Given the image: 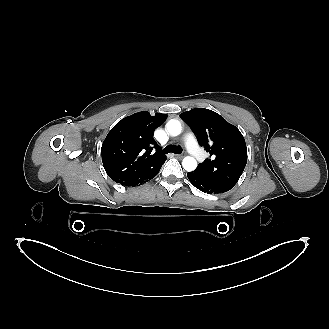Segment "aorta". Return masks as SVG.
<instances>
[{
    "label": "aorta",
    "instance_id": "1",
    "mask_svg": "<svg viewBox=\"0 0 329 329\" xmlns=\"http://www.w3.org/2000/svg\"><path fill=\"white\" fill-rule=\"evenodd\" d=\"M166 130L172 136H178L181 133L182 126L178 120L171 119L166 124ZM182 166L186 171H194L197 167L195 158L187 156L182 161Z\"/></svg>",
    "mask_w": 329,
    "mask_h": 329
}]
</instances>
